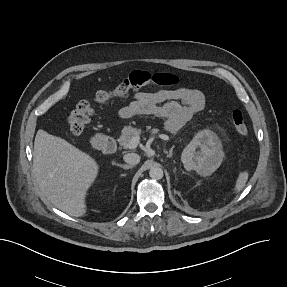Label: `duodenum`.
Listing matches in <instances>:
<instances>
[{
	"mask_svg": "<svg viewBox=\"0 0 287 287\" xmlns=\"http://www.w3.org/2000/svg\"><path fill=\"white\" fill-rule=\"evenodd\" d=\"M93 142L95 146L106 154H113L117 150V142L111 136L96 135Z\"/></svg>",
	"mask_w": 287,
	"mask_h": 287,
	"instance_id": "1",
	"label": "duodenum"
}]
</instances>
